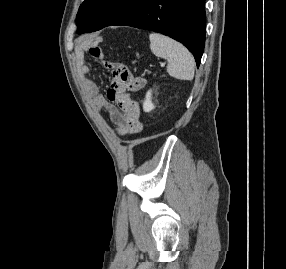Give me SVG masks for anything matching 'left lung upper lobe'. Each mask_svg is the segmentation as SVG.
Listing matches in <instances>:
<instances>
[{
	"mask_svg": "<svg viewBox=\"0 0 286 269\" xmlns=\"http://www.w3.org/2000/svg\"><path fill=\"white\" fill-rule=\"evenodd\" d=\"M143 0H85L76 16L77 32L86 33L109 26L134 8Z\"/></svg>",
	"mask_w": 286,
	"mask_h": 269,
	"instance_id": "1",
	"label": "left lung upper lobe"
}]
</instances>
